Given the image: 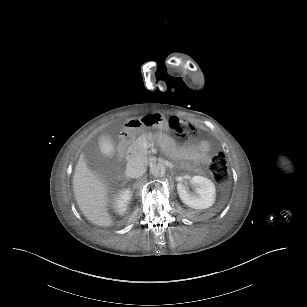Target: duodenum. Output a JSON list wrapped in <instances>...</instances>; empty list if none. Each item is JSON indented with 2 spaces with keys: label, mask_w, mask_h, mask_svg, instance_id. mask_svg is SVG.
I'll list each match as a JSON object with an SVG mask.
<instances>
[{
  "label": "duodenum",
  "mask_w": 307,
  "mask_h": 307,
  "mask_svg": "<svg viewBox=\"0 0 307 307\" xmlns=\"http://www.w3.org/2000/svg\"><path fill=\"white\" fill-rule=\"evenodd\" d=\"M121 143L119 145V151L118 154L121 157L126 156L127 154V149H128V143L132 139V133H133V128L130 125H124L121 128Z\"/></svg>",
  "instance_id": "410a0bca"
}]
</instances>
